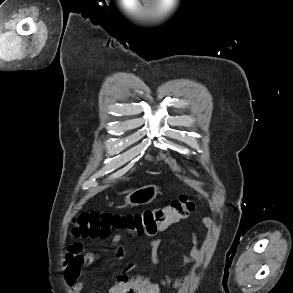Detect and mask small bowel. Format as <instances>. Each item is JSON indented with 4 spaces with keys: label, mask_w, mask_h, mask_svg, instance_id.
I'll use <instances>...</instances> for the list:
<instances>
[{
    "label": "small bowel",
    "mask_w": 293,
    "mask_h": 293,
    "mask_svg": "<svg viewBox=\"0 0 293 293\" xmlns=\"http://www.w3.org/2000/svg\"><path fill=\"white\" fill-rule=\"evenodd\" d=\"M202 224L206 227L209 234L204 241H201L196 230L191 232L192 247L188 255L182 256V268H187L193 263L200 261L205 254L210 240V234L214 229V224L212 219L209 217H204L202 219ZM168 226L159 230L141 233L149 238L148 243L151 247L149 258L152 265H156L158 263L157 250L160 245L159 239L155 238V236L159 232L164 231ZM122 239L123 235L120 233L113 235L111 237L112 245L106 248L104 253L112 256L113 258L124 259L126 252L124 247L119 244ZM99 260L100 254L91 251H84V244L81 241H76L70 244L67 248L64 261V280L66 285L74 293H83L87 284L86 282L79 280L80 274L85 267L95 264L99 262ZM189 279V276L182 278L166 277L161 281V286L179 288L184 286ZM141 290H146V293H159L160 286L158 283L152 282L150 279L145 277L138 276L135 278H129L126 275H120L116 282L108 288L106 293H141ZM89 293L103 292L100 290H94Z\"/></svg>",
    "instance_id": "small-bowel-1"
}]
</instances>
